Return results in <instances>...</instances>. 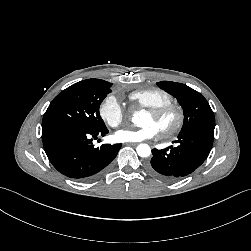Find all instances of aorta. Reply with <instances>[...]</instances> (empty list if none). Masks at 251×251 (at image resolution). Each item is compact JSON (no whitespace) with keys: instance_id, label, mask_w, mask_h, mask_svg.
<instances>
[{"instance_id":"obj_1","label":"aorta","mask_w":251,"mask_h":251,"mask_svg":"<svg viewBox=\"0 0 251 251\" xmlns=\"http://www.w3.org/2000/svg\"><path fill=\"white\" fill-rule=\"evenodd\" d=\"M133 120H135V118H133ZM136 151L140 157H148L151 154V148L147 144H139Z\"/></svg>"}]
</instances>
